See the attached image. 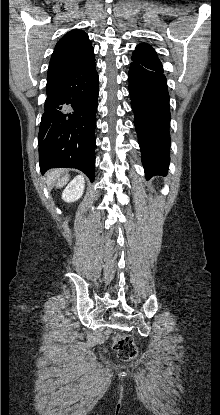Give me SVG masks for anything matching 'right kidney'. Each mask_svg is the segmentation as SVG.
<instances>
[{
	"instance_id": "1",
	"label": "right kidney",
	"mask_w": 220,
	"mask_h": 415,
	"mask_svg": "<svg viewBox=\"0 0 220 415\" xmlns=\"http://www.w3.org/2000/svg\"><path fill=\"white\" fill-rule=\"evenodd\" d=\"M85 188L84 177L81 175L76 176L65 188L62 193V199L65 202H74L81 198Z\"/></svg>"
}]
</instances>
